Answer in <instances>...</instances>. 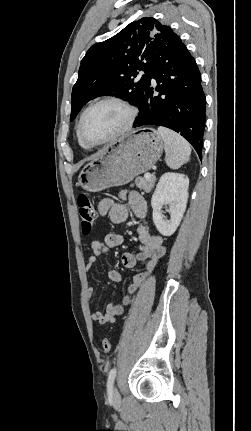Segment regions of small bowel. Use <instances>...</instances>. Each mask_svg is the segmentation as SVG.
I'll return each instance as SVG.
<instances>
[{
    "mask_svg": "<svg viewBox=\"0 0 251 431\" xmlns=\"http://www.w3.org/2000/svg\"><path fill=\"white\" fill-rule=\"evenodd\" d=\"M121 201H114L109 198L102 199L98 204L100 216H108L113 223H121L128 216V209L138 219H144L147 216L148 208L144 198L135 191H124L120 195ZM139 245L135 252L128 251L122 256V263L127 268H133L138 263H145V270L136 274L133 282L128 286L129 294L136 293L145 283L147 278L153 272L158 261L165 256L166 246L163 237L151 234L144 224H140L138 229ZM123 244V237L116 233L106 234L101 240H94L91 243L92 255L87 261V269H91L97 259L106 254L110 248L118 247ZM108 277L113 282H121L122 275L117 270H109ZM88 299L93 297V288L90 286L87 290ZM130 295H125L122 304H109L105 313L96 310L91 314L92 320L99 324L113 323L116 317L124 312V306L131 303Z\"/></svg>",
    "mask_w": 251,
    "mask_h": 431,
    "instance_id": "small-bowel-1",
    "label": "small bowel"
}]
</instances>
